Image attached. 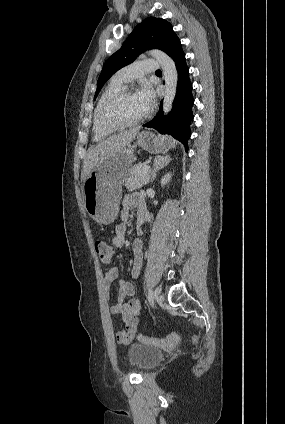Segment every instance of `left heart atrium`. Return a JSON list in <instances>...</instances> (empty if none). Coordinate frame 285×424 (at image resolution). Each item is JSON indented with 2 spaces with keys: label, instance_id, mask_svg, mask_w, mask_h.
<instances>
[{
  "label": "left heart atrium",
  "instance_id": "obj_1",
  "mask_svg": "<svg viewBox=\"0 0 285 424\" xmlns=\"http://www.w3.org/2000/svg\"><path fill=\"white\" fill-rule=\"evenodd\" d=\"M136 94L146 113L149 112L155 104V93L152 87L144 84Z\"/></svg>",
  "mask_w": 285,
  "mask_h": 424
}]
</instances>
